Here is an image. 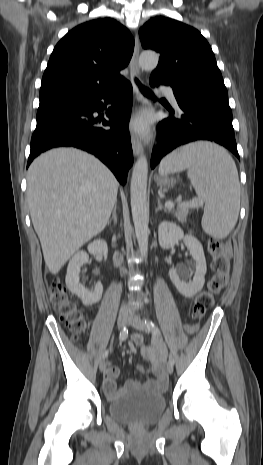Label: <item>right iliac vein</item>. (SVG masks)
I'll list each match as a JSON object with an SVG mask.
<instances>
[{"mask_svg":"<svg viewBox=\"0 0 263 465\" xmlns=\"http://www.w3.org/2000/svg\"><path fill=\"white\" fill-rule=\"evenodd\" d=\"M127 320H128V314H127V311L123 310L119 313L118 315V319H117V326L119 329H122L126 323H127ZM99 369L101 372H104L105 369H106V361L105 360H102L100 362V365H99Z\"/></svg>","mask_w":263,"mask_h":465,"instance_id":"obj_1","label":"right iliac vein"}]
</instances>
